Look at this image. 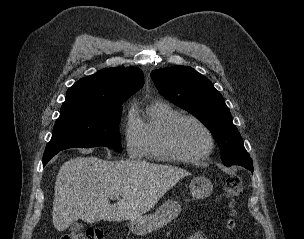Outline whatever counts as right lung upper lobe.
<instances>
[{
	"instance_id": "1",
	"label": "right lung upper lobe",
	"mask_w": 304,
	"mask_h": 239,
	"mask_svg": "<svg viewBox=\"0 0 304 239\" xmlns=\"http://www.w3.org/2000/svg\"><path fill=\"white\" fill-rule=\"evenodd\" d=\"M143 83V73L139 68L103 69L80 79L68 89L61 112L121 106Z\"/></svg>"
}]
</instances>
